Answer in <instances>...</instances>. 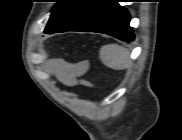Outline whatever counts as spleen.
Segmentation results:
<instances>
[{
  "label": "spleen",
  "mask_w": 182,
  "mask_h": 140,
  "mask_svg": "<svg viewBox=\"0 0 182 140\" xmlns=\"http://www.w3.org/2000/svg\"><path fill=\"white\" fill-rule=\"evenodd\" d=\"M100 58L107 67L115 70L125 69L130 65L129 51L117 44L103 46Z\"/></svg>",
  "instance_id": "spleen-1"
}]
</instances>
